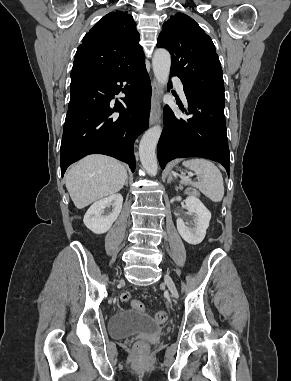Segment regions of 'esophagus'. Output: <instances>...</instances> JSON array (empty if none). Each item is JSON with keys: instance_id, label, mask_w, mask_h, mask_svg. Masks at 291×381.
<instances>
[{"instance_id": "obj_1", "label": "esophagus", "mask_w": 291, "mask_h": 381, "mask_svg": "<svg viewBox=\"0 0 291 381\" xmlns=\"http://www.w3.org/2000/svg\"><path fill=\"white\" fill-rule=\"evenodd\" d=\"M162 95V89L159 83L153 79L152 80V96H153V105L150 114L149 123L150 125H154L160 121L161 116V107H160V98Z\"/></svg>"}]
</instances>
